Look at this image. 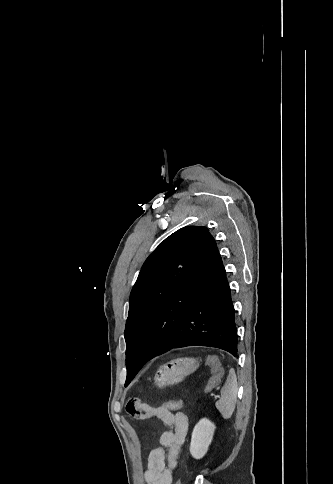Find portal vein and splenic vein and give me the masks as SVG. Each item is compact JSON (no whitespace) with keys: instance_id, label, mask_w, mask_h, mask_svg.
I'll return each mask as SVG.
<instances>
[{"instance_id":"18ae733b","label":"portal vein and splenic vein","mask_w":333,"mask_h":484,"mask_svg":"<svg viewBox=\"0 0 333 484\" xmlns=\"http://www.w3.org/2000/svg\"><path fill=\"white\" fill-rule=\"evenodd\" d=\"M212 397L216 398L217 396L215 394H210Z\"/></svg>"}]
</instances>
